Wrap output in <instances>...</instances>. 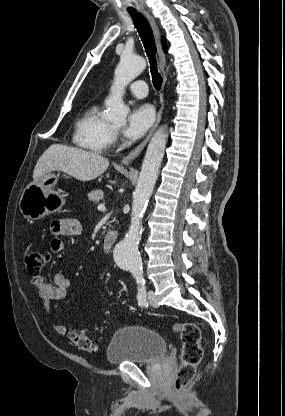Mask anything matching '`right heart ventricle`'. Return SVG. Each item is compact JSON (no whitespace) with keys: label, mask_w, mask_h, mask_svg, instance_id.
Instances as JSON below:
<instances>
[{"label":"right heart ventricle","mask_w":285,"mask_h":416,"mask_svg":"<svg viewBox=\"0 0 285 416\" xmlns=\"http://www.w3.org/2000/svg\"><path fill=\"white\" fill-rule=\"evenodd\" d=\"M111 133V126L101 116L100 107L91 104L76 122L73 142L86 152L101 154L110 145Z\"/></svg>","instance_id":"1"}]
</instances>
